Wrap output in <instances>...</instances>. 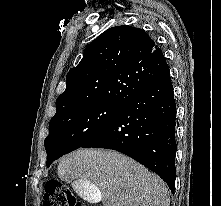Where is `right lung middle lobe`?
<instances>
[{
  "mask_svg": "<svg viewBox=\"0 0 221 206\" xmlns=\"http://www.w3.org/2000/svg\"><path fill=\"white\" fill-rule=\"evenodd\" d=\"M121 108L122 105L94 103L56 113L44 141L47 167L93 138L118 115Z\"/></svg>",
  "mask_w": 221,
  "mask_h": 206,
  "instance_id": "obj_1",
  "label": "right lung middle lobe"
}]
</instances>
